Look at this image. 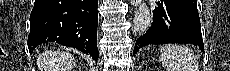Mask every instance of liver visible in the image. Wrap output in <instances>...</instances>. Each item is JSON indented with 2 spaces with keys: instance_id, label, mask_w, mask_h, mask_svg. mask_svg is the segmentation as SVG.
Wrapping results in <instances>:
<instances>
[{
  "instance_id": "6515ba94",
  "label": "liver",
  "mask_w": 230,
  "mask_h": 71,
  "mask_svg": "<svg viewBox=\"0 0 230 71\" xmlns=\"http://www.w3.org/2000/svg\"><path fill=\"white\" fill-rule=\"evenodd\" d=\"M37 65L40 71H71L75 60L69 52L47 51L38 56Z\"/></svg>"
}]
</instances>
